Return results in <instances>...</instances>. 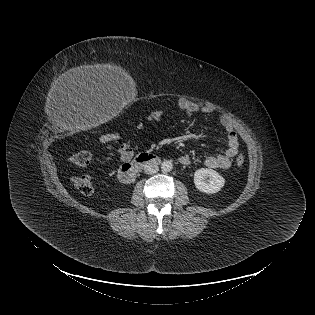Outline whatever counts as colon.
I'll return each instance as SVG.
<instances>
[{
    "label": "colon",
    "instance_id": "5ec220e1",
    "mask_svg": "<svg viewBox=\"0 0 315 315\" xmlns=\"http://www.w3.org/2000/svg\"><path fill=\"white\" fill-rule=\"evenodd\" d=\"M118 139L116 134H105L101 136L100 140L102 142H112ZM92 159V155L87 150H81L74 153L71 156V162L80 168L87 167ZM245 162V158L242 154H239L236 159L235 163L237 166H242ZM74 186L84 195H90L94 190L93 180L88 175L77 176L72 179Z\"/></svg>",
    "mask_w": 315,
    "mask_h": 315
}]
</instances>
